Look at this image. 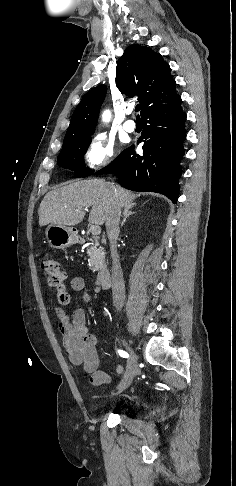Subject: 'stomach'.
<instances>
[{
  "label": "stomach",
  "instance_id": "obj_1",
  "mask_svg": "<svg viewBox=\"0 0 236 486\" xmlns=\"http://www.w3.org/2000/svg\"><path fill=\"white\" fill-rule=\"evenodd\" d=\"M46 237L55 249H65L78 242L77 232L65 225L50 224L46 228Z\"/></svg>",
  "mask_w": 236,
  "mask_h": 486
}]
</instances>
